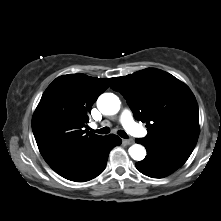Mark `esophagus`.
Returning <instances> with one entry per match:
<instances>
[{
  "instance_id": "esophagus-1",
  "label": "esophagus",
  "mask_w": 221,
  "mask_h": 221,
  "mask_svg": "<svg viewBox=\"0 0 221 221\" xmlns=\"http://www.w3.org/2000/svg\"><path fill=\"white\" fill-rule=\"evenodd\" d=\"M122 142H123L124 145H131V144H133V141L130 140V139H123Z\"/></svg>"
}]
</instances>
